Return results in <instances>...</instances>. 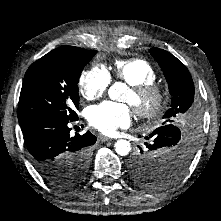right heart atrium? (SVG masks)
Returning a JSON list of instances; mask_svg holds the SVG:
<instances>
[{"label":"right heart atrium","instance_id":"1","mask_svg":"<svg viewBox=\"0 0 221 221\" xmlns=\"http://www.w3.org/2000/svg\"><path fill=\"white\" fill-rule=\"evenodd\" d=\"M111 83L109 72L102 66H94L84 71L79 79L80 93L87 100L102 96Z\"/></svg>","mask_w":221,"mask_h":221}]
</instances>
